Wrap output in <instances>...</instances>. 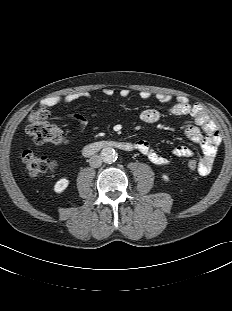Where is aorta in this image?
I'll list each match as a JSON object with an SVG mask.
<instances>
[{
    "label": "aorta",
    "instance_id": "aorta-1",
    "mask_svg": "<svg viewBox=\"0 0 232 311\" xmlns=\"http://www.w3.org/2000/svg\"><path fill=\"white\" fill-rule=\"evenodd\" d=\"M117 153L112 147H105L101 150V157L102 160L107 163L111 164L117 160Z\"/></svg>",
    "mask_w": 232,
    "mask_h": 311
}]
</instances>
